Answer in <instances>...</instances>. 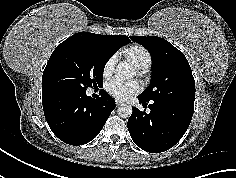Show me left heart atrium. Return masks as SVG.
<instances>
[{
	"instance_id": "39dd6f15",
	"label": "left heart atrium",
	"mask_w": 236,
	"mask_h": 178,
	"mask_svg": "<svg viewBox=\"0 0 236 178\" xmlns=\"http://www.w3.org/2000/svg\"><path fill=\"white\" fill-rule=\"evenodd\" d=\"M105 90L117 100H127L140 90V86L136 81H119L110 80L105 85Z\"/></svg>"
}]
</instances>
